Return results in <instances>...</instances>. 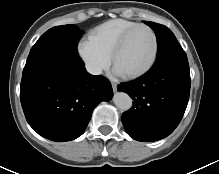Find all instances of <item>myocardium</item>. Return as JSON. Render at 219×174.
I'll list each match as a JSON object with an SVG mask.
<instances>
[{"label": "myocardium", "instance_id": "f54148a6", "mask_svg": "<svg viewBox=\"0 0 219 174\" xmlns=\"http://www.w3.org/2000/svg\"><path fill=\"white\" fill-rule=\"evenodd\" d=\"M147 29L152 37H153V41H154V52H153V56L150 60V62L147 64L146 67H144L143 69L137 71V72H133V73H125V74H121V76L125 79H136L139 78L143 75H145L146 73H148L153 66L156 63L157 57H158V51H159V42H158V37L157 34L155 33V31L148 25L146 24H138L134 27H132L131 29H129L128 31H126L121 38L119 39V41L117 42V44L115 45L111 57H112V61L114 66H116V60L117 57L119 56V54L121 53V51L123 50L124 46L126 45L129 37L138 29Z\"/></svg>", "mask_w": 219, "mask_h": 174}]
</instances>
